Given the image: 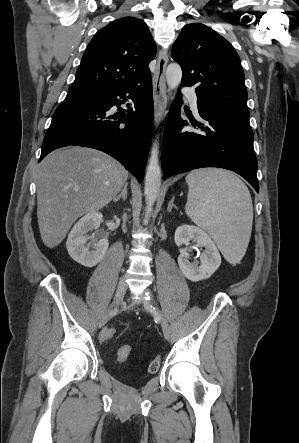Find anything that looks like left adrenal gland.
<instances>
[{
  "label": "left adrenal gland",
  "instance_id": "1",
  "mask_svg": "<svg viewBox=\"0 0 299 443\" xmlns=\"http://www.w3.org/2000/svg\"><path fill=\"white\" fill-rule=\"evenodd\" d=\"M173 202H174V197H172L171 201L168 204V207H167L168 212H171L172 208L177 209V207L175 206V204Z\"/></svg>",
  "mask_w": 299,
  "mask_h": 443
}]
</instances>
